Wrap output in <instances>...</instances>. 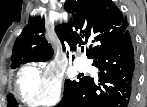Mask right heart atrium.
Returning a JSON list of instances; mask_svg holds the SVG:
<instances>
[{"label":"right heart atrium","mask_w":147,"mask_h":107,"mask_svg":"<svg viewBox=\"0 0 147 107\" xmlns=\"http://www.w3.org/2000/svg\"><path fill=\"white\" fill-rule=\"evenodd\" d=\"M17 92L27 105H52L61 97V75L54 65L26 66L19 74Z\"/></svg>","instance_id":"obj_1"}]
</instances>
